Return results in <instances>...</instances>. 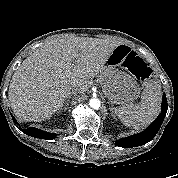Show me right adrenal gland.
Returning <instances> with one entry per match:
<instances>
[{
    "label": "right adrenal gland",
    "mask_w": 178,
    "mask_h": 178,
    "mask_svg": "<svg viewBox=\"0 0 178 178\" xmlns=\"http://www.w3.org/2000/svg\"><path fill=\"white\" fill-rule=\"evenodd\" d=\"M70 98H71V96L68 97V99H67L66 102H65L64 107H63L61 110H64V111L66 110V108H67V106H68V104H69L68 102L70 101Z\"/></svg>",
    "instance_id": "obj_1"
}]
</instances>
